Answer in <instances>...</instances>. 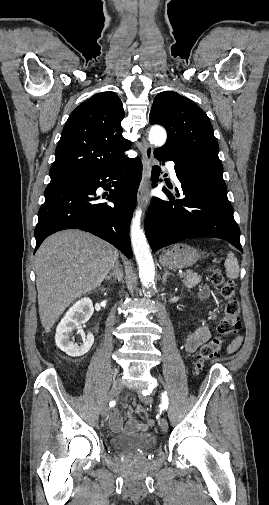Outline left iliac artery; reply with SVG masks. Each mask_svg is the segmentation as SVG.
I'll return each mask as SVG.
<instances>
[{"label":"left iliac artery","instance_id":"1","mask_svg":"<svg viewBox=\"0 0 269 505\" xmlns=\"http://www.w3.org/2000/svg\"><path fill=\"white\" fill-rule=\"evenodd\" d=\"M168 404H169V400H168L167 393L166 392H162L160 408L163 409V410L167 409L168 408Z\"/></svg>","mask_w":269,"mask_h":505}]
</instances>
